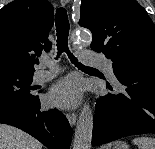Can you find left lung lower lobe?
Returning a JSON list of instances; mask_svg holds the SVG:
<instances>
[{
	"mask_svg": "<svg viewBox=\"0 0 155 149\" xmlns=\"http://www.w3.org/2000/svg\"><path fill=\"white\" fill-rule=\"evenodd\" d=\"M113 71L126 89L124 94H107L97 100L94 147L130 135L155 134V65L129 63Z\"/></svg>",
	"mask_w": 155,
	"mask_h": 149,
	"instance_id": "1",
	"label": "left lung lower lobe"
}]
</instances>
